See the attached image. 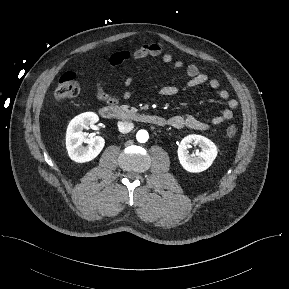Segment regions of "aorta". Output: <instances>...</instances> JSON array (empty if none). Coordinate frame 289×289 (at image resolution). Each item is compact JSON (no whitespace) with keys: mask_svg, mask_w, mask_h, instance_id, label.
Wrapping results in <instances>:
<instances>
[{"mask_svg":"<svg viewBox=\"0 0 289 289\" xmlns=\"http://www.w3.org/2000/svg\"><path fill=\"white\" fill-rule=\"evenodd\" d=\"M136 138L138 142L145 143L149 138V134L146 130H139L136 134Z\"/></svg>","mask_w":289,"mask_h":289,"instance_id":"1","label":"aorta"}]
</instances>
